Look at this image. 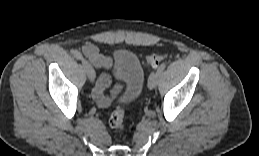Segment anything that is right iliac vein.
Listing matches in <instances>:
<instances>
[{
  "mask_svg": "<svg viewBox=\"0 0 259 156\" xmlns=\"http://www.w3.org/2000/svg\"><path fill=\"white\" fill-rule=\"evenodd\" d=\"M82 65H83V67H84V69L87 73V76H88L89 80L91 82H93L95 80V71H94L93 67L86 60H82Z\"/></svg>",
  "mask_w": 259,
  "mask_h": 156,
  "instance_id": "obj_1",
  "label": "right iliac vein"
}]
</instances>
